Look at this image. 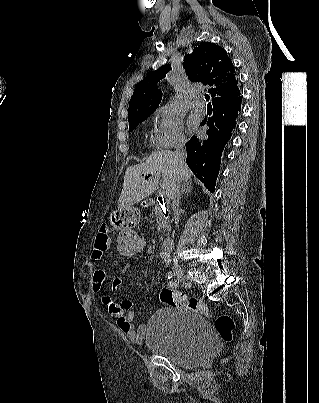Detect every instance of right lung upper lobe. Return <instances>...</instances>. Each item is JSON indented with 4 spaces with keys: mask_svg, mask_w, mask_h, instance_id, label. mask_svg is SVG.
I'll use <instances>...</instances> for the list:
<instances>
[{
    "mask_svg": "<svg viewBox=\"0 0 319 403\" xmlns=\"http://www.w3.org/2000/svg\"><path fill=\"white\" fill-rule=\"evenodd\" d=\"M183 67L191 81L214 86L210 90L213 103L239 92L231 59L223 48L214 43H200L192 54L185 56ZM170 70L171 65H163L137 85L129 103V122L156 110L162 98L157 84Z\"/></svg>",
    "mask_w": 319,
    "mask_h": 403,
    "instance_id": "right-lung-upper-lobe-1",
    "label": "right lung upper lobe"
}]
</instances>
